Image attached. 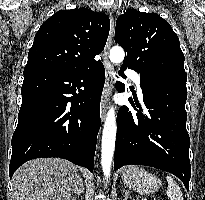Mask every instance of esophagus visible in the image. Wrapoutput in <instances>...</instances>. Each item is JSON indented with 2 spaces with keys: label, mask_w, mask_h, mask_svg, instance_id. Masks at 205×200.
Here are the masks:
<instances>
[{
  "label": "esophagus",
  "mask_w": 205,
  "mask_h": 200,
  "mask_svg": "<svg viewBox=\"0 0 205 200\" xmlns=\"http://www.w3.org/2000/svg\"><path fill=\"white\" fill-rule=\"evenodd\" d=\"M109 18H110V31L104 49V53H103V64L105 67L106 79H105V85L103 88L101 103H100V114H101L102 121L105 119L106 116V111L108 107V98L111 93L112 85H113V72H112L113 67L111 62L109 61V51L113 42L115 25H114V18L111 11H109Z\"/></svg>",
  "instance_id": "esophagus-1"
}]
</instances>
